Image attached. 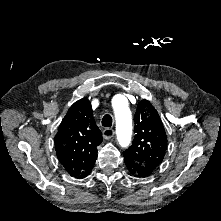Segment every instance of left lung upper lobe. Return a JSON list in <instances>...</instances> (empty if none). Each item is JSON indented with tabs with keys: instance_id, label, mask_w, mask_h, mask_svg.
Here are the masks:
<instances>
[{
	"instance_id": "obj_1",
	"label": "left lung upper lobe",
	"mask_w": 221,
	"mask_h": 221,
	"mask_svg": "<svg viewBox=\"0 0 221 221\" xmlns=\"http://www.w3.org/2000/svg\"><path fill=\"white\" fill-rule=\"evenodd\" d=\"M134 121L136 134L124 155L151 173L165 156L166 132L157 110L148 100L138 103Z\"/></svg>"
}]
</instances>
